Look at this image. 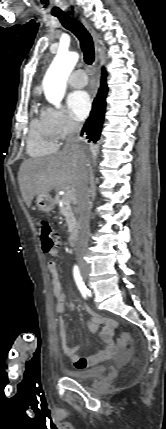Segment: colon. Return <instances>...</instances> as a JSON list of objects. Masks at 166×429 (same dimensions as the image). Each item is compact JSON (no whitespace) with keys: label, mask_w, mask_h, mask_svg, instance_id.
<instances>
[{"label":"colon","mask_w":166,"mask_h":429,"mask_svg":"<svg viewBox=\"0 0 166 429\" xmlns=\"http://www.w3.org/2000/svg\"><path fill=\"white\" fill-rule=\"evenodd\" d=\"M39 233L42 242L43 251L48 253L52 249L60 245V236L53 230L51 225L46 220L39 222ZM131 341V335L128 332H123L118 338V345L125 347Z\"/></svg>","instance_id":"colon-1"}]
</instances>
